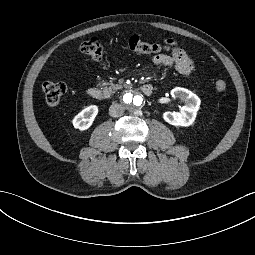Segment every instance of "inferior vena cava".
<instances>
[{"mask_svg":"<svg viewBox=\"0 0 255 255\" xmlns=\"http://www.w3.org/2000/svg\"><path fill=\"white\" fill-rule=\"evenodd\" d=\"M124 114V108L118 104L113 103L109 108V115L112 117H120Z\"/></svg>","mask_w":255,"mask_h":255,"instance_id":"602c4592","label":"inferior vena cava"}]
</instances>
